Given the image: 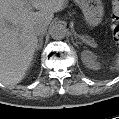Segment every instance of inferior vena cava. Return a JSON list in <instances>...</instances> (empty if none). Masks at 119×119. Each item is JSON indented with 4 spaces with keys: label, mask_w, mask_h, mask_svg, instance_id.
<instances>
[{
    "label": "inferior vena cava",
    "mask_w": 119,
    "mask_h": 119,
    "mask_svg": "<svg viewBox=\"0 0 119 119\" xmlns=\"http://www.w3.org/2000/svg\"><path fill=\"white\" fill-rule=\"evenodd\" d=\"M46 30H47V26L44 24H40L35 27V32L37 35L44 34L46 32Z\"/></svg>",
    "instance_id": "inferior-vena-cava-1"
}]
</instances>
